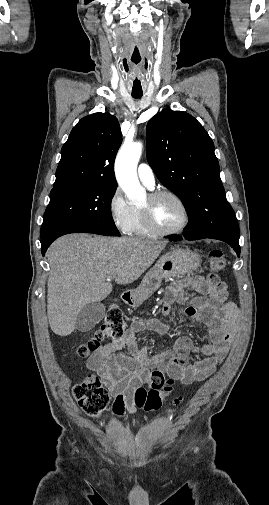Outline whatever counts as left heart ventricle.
Here are the masks:
<instances>
[{
    "mask_svg": "<svg viewBox=\"0 0 269 505\" xmlns=\"http://www.w3.org/2000/svg\"><path fill=\"white\" fill-rule=\"evenodd\" d=\"M148 202V197H146L141 206H146ZM151 209L154 222L162 229L177 228L184 220L182 207L175 199L169 196H163L154 201Z\"/></svg>",
    "mask_w": 269,
    "mask_h": 505,
    "instance_id": "obj_1",
    "label": "left heart ventricle"
}]
</instances>
